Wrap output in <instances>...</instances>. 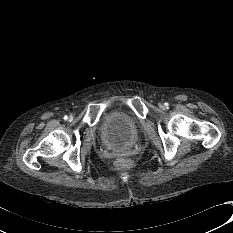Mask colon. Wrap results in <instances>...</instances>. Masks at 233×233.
Here are the masks:
<instances>
[{
    "label": "colon",
    "instance_id": "5ec220e1",
    "mask_svg": "<svg viewBox=\"0 0 233 233\" xmlns=\"http://www.w3.org/2000/svg\"><path fill=\"white\" fill-rule=\"evenodd\" d=\"M126 164V161L124 159H119L117 161V166H124Z\"/></svg>",
    "mask_w": 233,
    "mask_h": 233
}]
</instances>
